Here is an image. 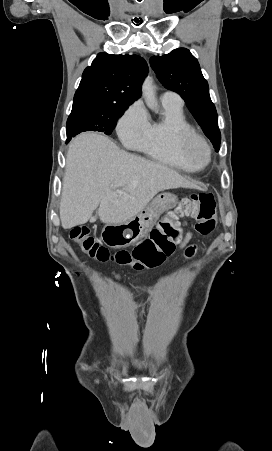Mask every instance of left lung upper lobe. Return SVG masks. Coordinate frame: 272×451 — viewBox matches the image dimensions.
<instances>
[{"label":"left lung upper lobe","mask_w":272,"mask_h":451,"mask_svg":"<svg viewBox=\"0 0 272 451\" xmlns=\"http://www.w3.org/2000/svg\"><path fill=\"white\" fill-rule=\"evenodd\" d=\"M150 64L162 84L185 100L215 150L219 151L221 134L217 112L197 59L188 49L179 48L163 56L151 57Z\"/></svg>","instance_id":"obj_1"}]
</instances>
